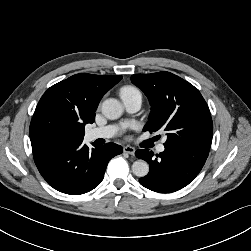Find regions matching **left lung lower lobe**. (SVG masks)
I'll use <instances>...</instances> for the list:
<instances>
[{"label":"left lung lower lobe","instance_id":"1","mask_svg":"<svg viewBox=\"0 0 251 251\" xmlns=\"http://www.w3.org/2000/svg\"><path fill=\"white\" fill-rule=\"evenodd\" d=\"M203 146L171 147L154 157L149 149L137 150L136 157L149 163V173L139 179L145 188L159 193H171L187 186L201 171L209 154Z\"/></svg>","mask_w":251,"mask_h":251}]
</instances>
